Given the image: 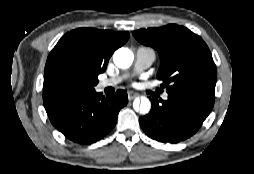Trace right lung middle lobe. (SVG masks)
Here are the masks:
<instances>
[{
  "label": "right lung middle lobe",
  "mask_w": 254,
  "mask_h": 174,
  "mask_svg": "<svg viewBox=\"0 0 254 174\" xmlns=\"http://www.w3.org/2000/svg\"><path fill=\"white\" fill-rule=\"evenodd\" d=\"M97 77L70 66H60L44 78L43 99L93 90L98 83Z\"/></svg>",
  "instance_id": "right-lung-middle-lobe-1"
}]
</instances>
